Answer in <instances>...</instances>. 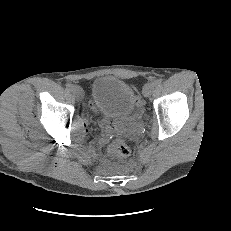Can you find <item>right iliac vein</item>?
Wrapping results in <instances>:
<instances>
[{
    "label": "right iliac vein",
    "instance_id": "obj_1",
    "mask_svg": "<svg viewBox=\"0 0 231 231\" xmlns=\"http://www.w3.org/2000/svg\"><path fill=\"white\" fill-rule=\"evenodd\" d=\"M71 91L75 97H80L82 95V92H83L82 88L80 86H77V85L73 86Z\"/></svg>",
    "mask_w": 231,
    "mask_h": 231
}]
</instances>
